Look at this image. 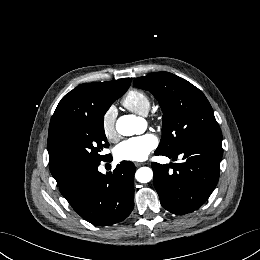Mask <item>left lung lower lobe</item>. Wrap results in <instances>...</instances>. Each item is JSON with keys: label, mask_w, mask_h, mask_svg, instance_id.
Returning <instances> with one entry per match:
<instances>
[{"label": "left lung lower lobe", "mask_w": 260, "mask_h": 260, "mask_svg": "<svg viewBox=\"0 0 260 260\" xmlns=\"http://www.w3.org/2000/svg\"><path fill=\"white\" fill-rule=\"evenodd\" d=\"M155 154L174 161L182 157L179 163H152L153 183L162 206L174 214H187L204 204L219 179L221 142L192 143L177 151Z\"/></svg>", "instance_id": "1"}]
</instances>
